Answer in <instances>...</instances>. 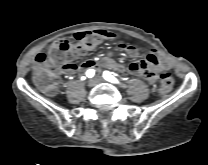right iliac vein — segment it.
Wrapping results in <instances>:
<instances>
[{
    "label": "right iliac vein",
    "instance_id": "1",
    "mask_svg": "<svg viewBox=\"0 0 208 165\" xmlns=\"http://www.w3.org/2000/svg\"><path fill=\"white\" fill-rule=\"evenodd\" d=\"M97 84V81L95 80V78L89 79L87 82V86L92 88Z\"/></svg>",
    "mask_w": 208,
    "mask_h": 165
}]
</instances>
